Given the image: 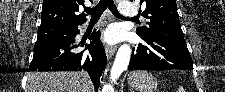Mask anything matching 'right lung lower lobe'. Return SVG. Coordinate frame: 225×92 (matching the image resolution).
Wrapping results in <instances>:
<instances>
[{"label":"right lung lower lobe","mask_w":225,"mask_h":92,"mask_svg":"<svg viewBox=\"0 0 225 92\" xmlns=\"http://www.w3.org/2000/svg\"><path fill=\"white\" fill-rule=\"evenodd\" d=\"M80 31L76 27L72 35L62 40L35 44L33 60L28 71H76L89 73L98 90L100 77L107 64V57L100 41V32L94 31L86 44V49L79 52L75 45V37Z\"/></svg>","instance_id":"obj_1"}]
</instances>
